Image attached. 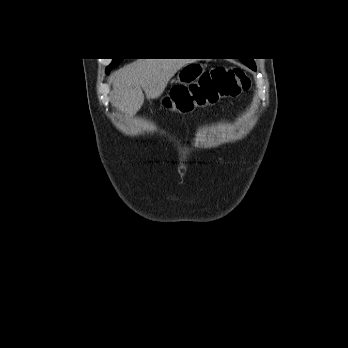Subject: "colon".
Listing matches in <instances>:
<instances>
[{"instance_id": "colon-1", "label": "colon", "mask_w": 348, "mask_h": 348, "mask_svg": "<svg viewBox=\"0 0 348 348\" xmlns=\"http://www.w3.org/2000/svg\"><path fill=\"white\" fill-rule=\"evenodd\" d=\"M250 88V79L238 67L219 66L203 72L197 82L189 86H179L165 98L167 109L184 112L198 106L197 97L205 102L236 97Z\"/></svg>"}]
</instances>
